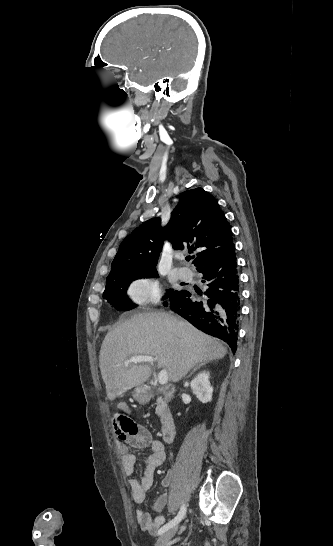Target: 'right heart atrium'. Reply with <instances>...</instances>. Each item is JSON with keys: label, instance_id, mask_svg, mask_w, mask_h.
Instances as JSON below:
<instances>
[{"label": "right heart atrium", "instance_id": "obj_1", "mask_svg": "<svg viewBox=\"0 0 333 546\" xmlns=\"http://www.w3.org/2000/svg\"><path fill=\"white\" fill-rule=\"evenodd\" d=\"M126 297L132 306L156 305L161 299V287L153 278L140 277L129 284Z\"/></svg>", "mask_w": 333, "mask_h": 546}]
</instances>
